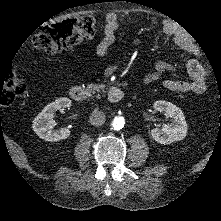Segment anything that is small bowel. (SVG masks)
<instances>
[{"mask_svg": "<svg viewBox=\"0 0 221 221\" xmlns=\"http://www.w3.org/2000/svg\"><path fill=\"white\" fill-rule=\"evenodd\" d=\"M126 16H128V13L117 14L111 12L107 14L106 22L100 26V30L103 33V38L95 48V53L98 57H104L108 53L110 47L115 43L119 20ZM165 33L169 37H173L174 42L181 49L186 51L192 50L193 46L191 41L187 38L176 36L172 28L166 27ZM118 66V64L110 65L108 67V72L111 73L115 71ZM185 66L190 76V80L165 79L163 81V86L166 89L175 92H189L195 94L204 93L207 88V72L205 71V69L193 58H188L186 60ZM175 70L176 68L174 65L163 60H156L154 63V71L149 72L144 76V82H155L161 77L164 72H174Z\"/></svg>", "mask_w": 221, "mask_h": 221, "instance_id": "c3829d8e", "label": "small bowel"}]
</instances>
